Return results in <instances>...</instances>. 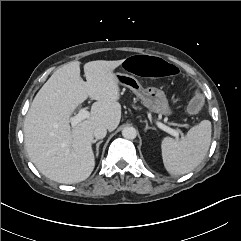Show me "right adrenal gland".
Wrapping results in <instances>:
<instances>
[{
    "mask_svg": "<svg viewBox=\"0 0 241 241\" xmlns=\"http://www.w3.org/2000/svg\"><path fill=\"white\" fill-rule=\"evenodd\" d=\"M95 142V141H94ZM103 141L101 140V141H99V142H97L96 143V156L98 157L99 156V146H100V144L102 143Z\"/></svg>",
    "mask_w": 241,
    "mask_h": 241,
    "instance_id": "1",
    "label": "right adrenal gland"
}]
</instances>
